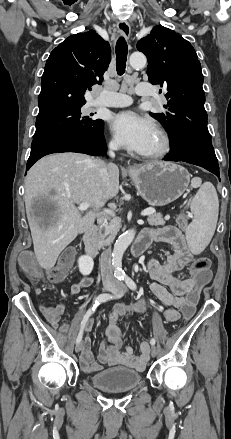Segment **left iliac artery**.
<instances>
[{"label":"left iliac artery","mask_w":231,"mask_h":439,"mask_svg":"<svg viewBox=\"0 0 231 439\" xmlns=\"http://www.w3.org/2000/svg\"><path fill=\"white\" fill-rule=\"evenodd\" d=\"M123 280L125 281V283H126V285L130 288V289H132V290H135L136 289V283L129 277V276H124L123 277ZM155 339L154 338H152L151 340H150V344L151 345H155Z\"/></svg>","instance_id":"1"}]
</instances>
